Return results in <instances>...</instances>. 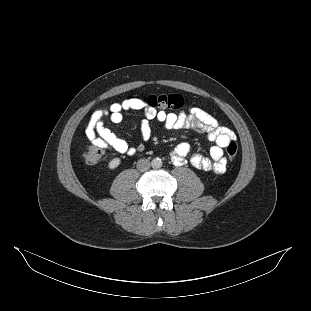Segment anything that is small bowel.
I'll return each mask as SVG.
<instances>
[{"instance_id": "c3829d8e", "label": "small bowel", "mask_w": 311, "mask_h": 311, "mask_svg": "<svg viewBox=\"0 0 311 311\" xmlns=\"http://www.w3.org/2000/svg\"><path fill=\"white\" fill-rule=\"evenodd\" d=\"M129 110L142 111L144 119L141 124V133L145 141L149 140L152 134L150 122L158 120L163 123L168 131L190 128L197 132L206 134L214 142L210 149V157L194 153L190 156V163L197 169L222 174L227 169V159L224 156V148L233 140L235 134L232 130L223 127L209 113L199 107H191L188 111L179 114L165 113L149 107L143 100L138 98L126 99L110 105L106 110L95 111L86 127V136L95 146L103 149L113 150L118 153L134 154L142 147L130 146L125 140L118 137L112 130L103 123V118L108 116L110 121L118 125L123 120V112ZM190 154V146L183 142L178 144L172 152V160L177 164H183Z\"/></svg>"}]
</instances>
